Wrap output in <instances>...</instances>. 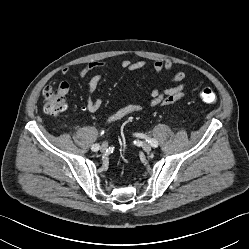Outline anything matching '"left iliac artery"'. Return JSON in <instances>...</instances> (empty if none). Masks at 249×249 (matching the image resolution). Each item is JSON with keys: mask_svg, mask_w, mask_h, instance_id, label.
Returning <instances> with one entry per match:
<instances>
[{"mask_svg": "<svg viewBox=\"0 0 249 249\" xmlns=\"http://www.w3.org/2000/svg\"><path fill=\"white\" fill-rule=\"evenodd\" d=\"M140 137L142 138H146V141H148V143L151 144V146L153 147H158V141L153 139V138H149V137H146L144 134H138Z\"/></svg>", "mask_w": 249, "mask_h": 249, "instance_id": "44dca946", "label": "left iliac artery"}]
</instances>
